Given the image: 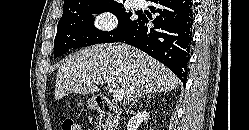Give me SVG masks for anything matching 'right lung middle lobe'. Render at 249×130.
<instances>
[{
    "mask_svg": "<svg viewBox=\"0 0 249 130\" xmlns=\"http://www.w3.org/2000/svg\"><path fill=\"white\" fill-rule=\"evenodd\" d=\"M108 11L117 16V28L110 32L96 29L93 14ZM131 16L132 13L126 12L124 5L118 1L97 3L76 11L63 10L54 41V58L71 48L119 41L138 22V19L134 20Z\"/></svg>",
    "mask_w": 249,
    "mask_h": 130,
    "instance_id": "dd1d6c3e",
    "label": "right lung middle lobe"
}]
</instances>
